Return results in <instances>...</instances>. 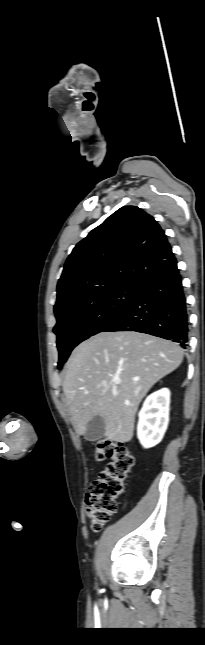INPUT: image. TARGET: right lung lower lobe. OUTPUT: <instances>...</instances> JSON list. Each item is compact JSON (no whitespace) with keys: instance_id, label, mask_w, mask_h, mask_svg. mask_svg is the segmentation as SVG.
Here are the masks:
<instances>
[{"instance_id":"1","label":"right lung lower lobe","mask_w":205,"mask_h":645,"mask_svg":"<svg viewBox=\"0 0 205 645\" xmlns=\"http://www.w3.org/2000/svg\"><path fill=\"white\" fill-rule=\"evenodd\" d=\"M188 314L177 261L162 266L136 288L134 302L101 332L136 331L188 346Z\"/></svg>"}]
</instances>
